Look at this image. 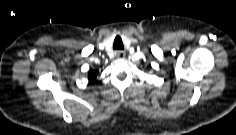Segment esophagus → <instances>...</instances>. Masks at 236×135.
I'll return each mask as SVG.
<instances>
[{
    "instance_id": "1",
    "label": "esophagus",
    "mask_w": 236,
    "mask_h": 135,
    "mask_svg": "<svg viewBox=\"0 0 236 135\" xmlns=\"http://www.w3.org/2000/svg\"><path fill=\"white\" fill-rule=\"evenodd\" d=\"M115 55L118 59H124L125 58V52L122 51V50L116 51Z\"/></svg>"
}]
</instances>
